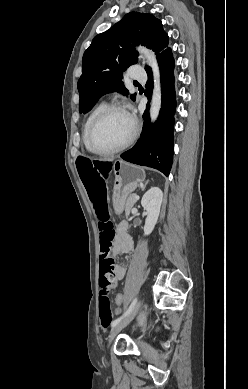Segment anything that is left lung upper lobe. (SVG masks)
Instances as JSON below:
<instances>
[{
	"mask_svg": "<svg viewBox=\"0 0 248 389\" xmlns=\"http://www.w3.org/2000/svg\"><path fill=\"white\" fill-rule=\"evenodd\" d=\"M168 43L162 22L152 14L140 12L126 14L113 27L95 36L82 59V75L77 85L79 112H89L105 93L117 91L128 95L121 81L122 70L137 63L136 45L152 49L158 57ZM135 98L136 94L131 95L132 100Z\"/></svg>",
	"mask_w": 248,
	"mask_h": 389,
	"instance_id": "obj_1",
	"label": "left lung upper lobe"
}]
</instances>
